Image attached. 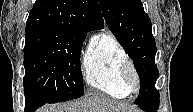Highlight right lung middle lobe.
<instances>
[{
  "mask_svg": "<svg viewBox=\"0 0 193 112\" xmlns=\"http://www.w3.org/2000/svg\"><path fill=\"white\" fill-rule=\"evenodd\" d=\"M85 32L37 29L26 32L24 93L28 104L56 103L84 94L80 54Z\"/></svg>",
  "mask_w": 193,
  "mask_h": 112,
  "instance_id": "right-lung-middle-lobe-1",
  "label": "right lung middle lobe"
}]
</instances>
